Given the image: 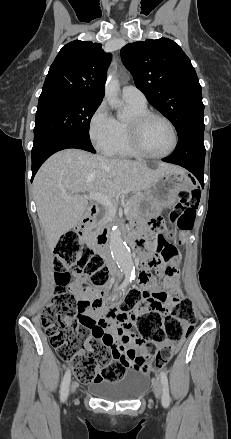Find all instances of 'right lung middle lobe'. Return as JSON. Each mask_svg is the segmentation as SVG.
I'll return each instance as SVG.
<instances>
[{"instance_id":"right-lung-middle-lobe-1","label":"right lung middle lobe","mask_w":231,"mask_h":439,"mask_svg":"<svg viewBox=\"0 0 231 439\" xmlns=\"http://www.w3.org/2000/svg\"><path fill=\"white\" fill-rule=\"evenodd\" d=\"M100 103L82 97H56L39 101L33 148L58 134H71L91 142L90 120Z\"/></svg>"}]
</instances>
